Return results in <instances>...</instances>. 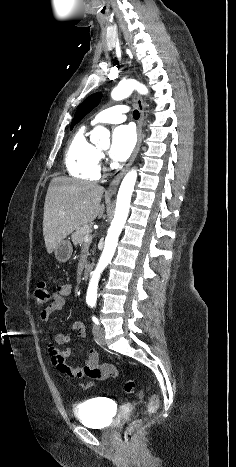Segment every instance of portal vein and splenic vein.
I'll use <instances>...</instances> for the list:
<instances>
[{"mask_svg":"<svg viewBox=\"0 0 236 467\" xmlns=\"http://www.w3.org/2000/svg\"><path fill=\"white\" fill-rule=\"evenodd\" d=\"M90 240H91V238H90L89 236L86 235V236L84 237V242L87 243V242H89Z\"/></svg>","mask_w":236,"mask_h":467,"instance_id":"portal-vein-and-splenic-vein-1","label":"portal vein and splenic vein"}]
</instances>
